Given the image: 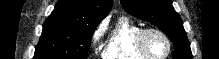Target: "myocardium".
<instances>
[{
    "label": "myocardium",
    "instance_id": "f54148a6",
    "mask_svg": "<svg viewBox=\"0 0 219 59\" xmlns=\"http://www.w3.org/2000/svg\"><path fill=\"white\" fill-rule=\"evenodd\" d=\"M150 34H158L165 40L167 44V50L164 55L154 56L148 51L146 47V38ZM136 47H137L138 52L148 59H166L172 51V42L169 36L161 29L149 27V28H142L141 31L139 32L137 36Z\"/></svg>",
    "mask_w": 219,
    "mask_h": 59
}]
</instances>
